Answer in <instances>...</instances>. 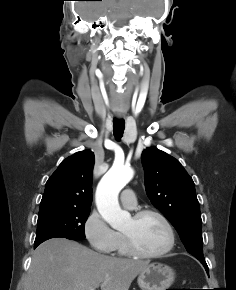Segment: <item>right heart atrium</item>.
I'll list each match as a JSON object with an SVG mask.
<instances>
[{"label": "right heart atrium", "mask_w": 236, "mask_h": 290, "mask_svg": "<svg viewBox=\"0 0 236 290\" xmlns=\"http://www.w3.org/2000/svg\"><path fill=\"white\" fill-rule=\"evenodd\" d=\"M83 233L91 248L98 253H111L118 241V233L109 227L95 209L86 217Z\"/></svg>", "instance_id": "1"}]
</instances>
